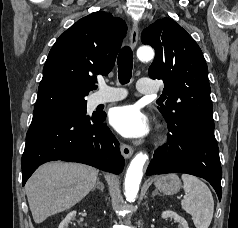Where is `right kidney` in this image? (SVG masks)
<instances>
[{
    "label": "right kidney",
    "mask_w": 238,
    "mask_h": 228,
    "mask_svg": "<svg viewBox=\"0 0 238 228\" xmlns=\"http://www.w3.org/2000/svg\"><path fill=\"white\" fill-rule=\"evenodd\" d=\"M76 217V211L70 212L65 219L60 223L58 228H68L69 223Z\"/></svg>",
    "instance_id": "1"
}]
</instances>
